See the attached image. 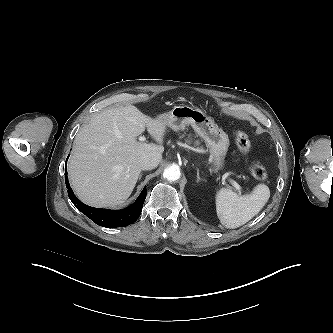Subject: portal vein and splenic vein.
Returning <instances> with one entry per match:
<instances>
[{"instance_id":"18ae733b","label":"portal vein and splenic vein","mask_w":333,"mask_h":333,"mask_svg":"<svg viewBox=\"0 0 333 333\" xmlns=\"http://www.w3.org/2000/svg\"><path fill=\"white\" fill-rule=\"evenodd\" d=\"M139 141H145V137H139ZM230 184L235 188V190L241 194V187L240 185L233 179H229Z\"/></svg>"}]
</instances>
